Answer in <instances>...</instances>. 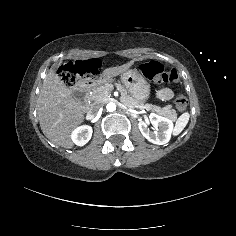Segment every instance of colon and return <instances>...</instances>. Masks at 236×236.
<instances>
[{
  "label": "colon",
  "mask_w": 236,
  "mask_h": 236,
  "mask_svg": "<svg viewBox=\"0 0 236 236\" xmlns=\"http://www.w3.org/2000/svg\"><path fill=\"white\" fill-rule=\"evenodd\" d=\"M95 63H70L59 68V76L67 86H72L80 76L88 71L96 70ZM139 72L147 79L158 83H179L180 77L176 70H165L163 66L156 61L143 62L138 66ZM188 100L184 95H179L176 99V107L179 111L187 108Z\"/></svg>",
  "instance_id": "colon-1"
}]
</instances>
